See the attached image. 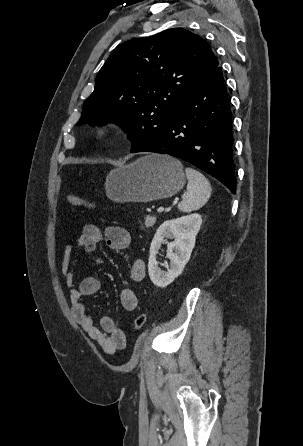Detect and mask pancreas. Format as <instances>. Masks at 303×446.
I'll return each instance as SVG.
<instances>
[{"instance_id": "1", "label": "pancreas", "mask_w": 303, "mask_h": 446, "mask_svg": "<svg viewBox=\"0 0 303 446\" xmlns=\"http://www.w3.org/2000/svg\"><path fill=\"white\" fill-rule=\"evenodd\" d=\"M156 222V218L153 216H146L145 218V226L146 228L152 227Z\"/></svg>"}]
</instances>
